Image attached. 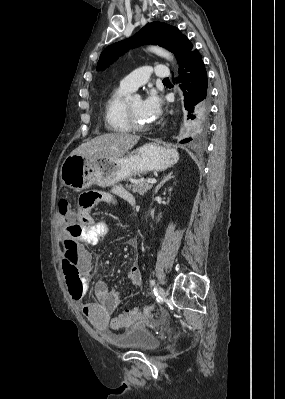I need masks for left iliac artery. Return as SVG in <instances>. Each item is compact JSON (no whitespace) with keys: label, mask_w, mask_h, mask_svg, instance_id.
Masks as SVG:
<instances>
[{"label":"left iliac artery","mask_w":285,"mask_h":399,"mask_svg":"<svg viewBox=\"0 0 285 399\" xmlns=\"http://www.w3.org/2000/svg\"><path fill=\"white\" fill-rule=\"evenodd\" d=\"M151 286H154L155 285V280H151ZM160 298V297H159Z\"/></svg>","instance_id":"44dca946"}]
</instances>
